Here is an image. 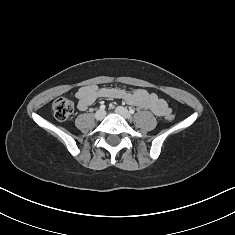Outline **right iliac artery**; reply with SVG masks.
Instances as JSON below:
<instances>
[{"label":"right iliac artery","instance_id":"right-iliac-artery-1","mask_svg":"<svg viewBox=\"0 0 235 235\" xmlns=\"http://www.w3.org/2000/svg\"><path fill=\"white\" fill-rule=\"evenodd\" d=\"M104 109H105V105H101L100 110H104Z\"/></svg>","mask_w":235,"mask_h":235}]
</instances>
